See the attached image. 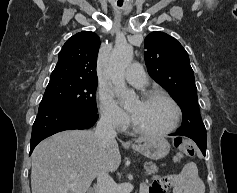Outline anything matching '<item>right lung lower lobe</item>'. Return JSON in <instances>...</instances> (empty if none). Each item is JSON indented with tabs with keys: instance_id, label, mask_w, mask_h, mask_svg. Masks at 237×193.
<instances>
[{
	"instance_id": "obj_1",
	"label": "right lung lower lobe",
	"mask_w": 237,
	"mask_h": 193,
	"mask_svg": "<svg viewBox=\"0 0 237 193\" xmlns=\"http://www.w3.org/2000/svg\"><path fill=\"white\" fill-rule=\"evenodd\" d=\"M98 114H87L68 108L40 104L38 115L32 128L30 155L43 139L57 132L71 129H87L95 124Z\"/></svg>"
}]
</instances>
